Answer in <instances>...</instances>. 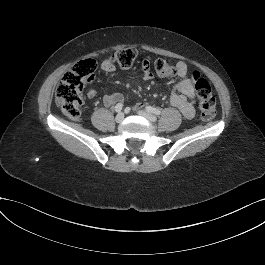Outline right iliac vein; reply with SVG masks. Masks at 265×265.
<instances>
[{
  "label": "right iliac vein",
  "mask_w": 265,
  "mask_h": 265,
  "mask_svg": "<svg viewBox=\"0 0 265 265\" xmlns=\"http://www.w3.org/2000/svg\"><path fill=\"white\" fill-rule=\"evenodd\" d=\"M123 119H124V113H118L117 115H116V118H115V121L117 122V123H120V122H122L123 121Z\"/></svg>",
  "instance_id": "obj_1"
}]
</instances>
